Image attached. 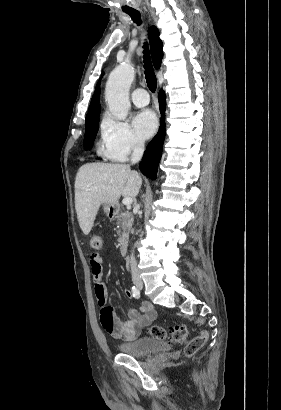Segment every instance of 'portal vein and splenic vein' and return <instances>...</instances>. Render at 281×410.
<instances>
[{"label": "portal vein and splenic vein", "mask_w": 281, "mask_h": 410, "mask_svg": "<svg viewBox=\"0 0 281 410\" xmlns=\"http://www.w3.org/2000/svg\"><path fill=\"white\" fill-rule=\"evenodd\" d=\"M132 202H133V199L130 197H125L122 201V203L126 205L128 208L131 206Z\"/></svg>", "instance_id": "portal-vein-and-splenic-vein-1"}]
</instances>
